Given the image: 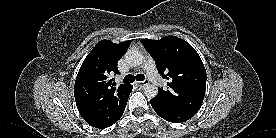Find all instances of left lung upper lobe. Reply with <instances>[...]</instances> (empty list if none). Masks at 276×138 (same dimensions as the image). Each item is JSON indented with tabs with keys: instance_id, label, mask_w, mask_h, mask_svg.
<instances>
[{
	"instance_id": "obj_1",
	"label": "left lung upper lobe",
	"mask_w": 276,
	"mask_h": 138,
	"mask_svg": "<svg viewBox=\"0 0 276 138\" xmlns=\"http://www.w3.org/2000/svg\"><path fill=\"white\" fill-rule=\"evenodd\" d=\"M141 42L155 60L158 72L170 81L167 89L159 88L155 99L169 107L196 114L204 99L207 79L196 50L176 36L142 39Z\"/></svg>"
}]
</instances>
